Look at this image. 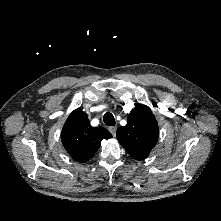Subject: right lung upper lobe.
<instances>
[{"label": "right lung upper lobe", "instance_id": "cb5924a9", "mask_svg": "<svg viewBox=\"0 0 221 221\" xmlns=\"http://www.w3.org/2000/svg\"><path fill=\"white\" fill-rule=\"evenodd\" d=\"M112 135L101 127H92L87 114L76 109L69 115L62 129V143L69 155L76 161H88L100 147L103 139Z\"/></svg>", "mask_w": 221, "mask_h": 221}]
</instances>
